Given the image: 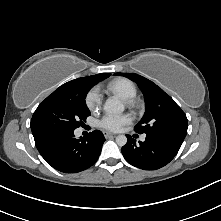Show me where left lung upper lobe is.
<instances>
[{
    "instance_id": "5c2ea615",
    "label": "left lung upper lobe",
    "mask_w": 221,
    "mask_h": 221,
    "mask_svg": "<svg viewBox=\"0 0 221 221\" xmlns=\"http://www.w3.org/2000/svg\"><path fill=\"white\" fill-rule=\"evenodd\" d=\"M136 82L145 96L146 111L135 126L137 133L146 135H176L185 138L188 121L185 113L155 83L134 73H115Z\"/></svg>"
}]
</instances>
